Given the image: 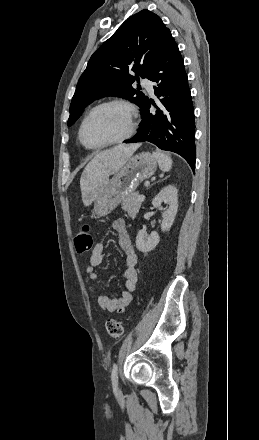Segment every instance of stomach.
<instances>
[{
  "instance_id": "0dacf381",
  "label": "stomach",
  "mask_w": 259,
  "mask_h": 440,
  "mask_svg": "<svg viewBox=\"0 0 259 440\" xmlns=\"http://www.w3.org/2000/svg\"><path fill=\"white\" fill-rule=\"evenodd\" d=\"M157 169V160L149 152L131 157L127 163L108 181L107 186L94 204L97 217L111 213L128 195L134 193L138 185L150 178Z\"/></svg>"
}]
</instances>
